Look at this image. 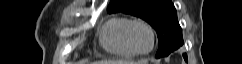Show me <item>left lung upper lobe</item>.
<instances>
[{
	"label": "left lung upper lobe",
	"instance_id": "5c2ea615",
	"mask_svg": "<svg viewBox=\"0 0 242 64\" xmlns=\"http://www.w3.org/2000/svg\"><path fill=\"white\" fill-rule=\"evenodd\" d=\"M109 13L123 12L147 21L157 32L156 58L168 56L183 45L182 29L171 0H112Z\"/></svg>",
	"mask_w": 242,
	"mask_h": 64
}]
</instances>
